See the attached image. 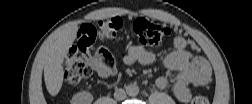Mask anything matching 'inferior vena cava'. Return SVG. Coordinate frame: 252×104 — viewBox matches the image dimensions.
Returning <instances> with one entry per match:
<instances>
[{
    "instance_id": "obj_1",
    "label": "inferior vena cava",
    "mask_w": 252,
    "mask_h": 104,
    "mask_svg": "<svg viewBox=\"0 0 252 104\" xmlns=\"http://www.w3.org/2000/svg\"><path fill=\"white\" fill-rule=\"evenodd\" d=\"M114 98L116 100H124L126 98V92L124 89H116L114 92Z\"/></svg>"
}]
</instances>
